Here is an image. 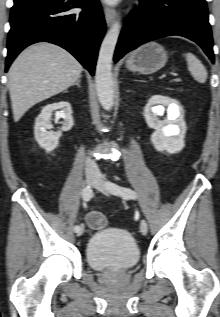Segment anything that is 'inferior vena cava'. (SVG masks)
<instances>
[{
    "label": "inferior vena cava",
    "mask_w": 220,
    "mask_h": 317,
    "mask_svg": "<svg viewBox=\"0 0 220 317\" xmlns=\"http://www.w3.org/2000/svg\"><path fill=\"white\" fill-rule=\"evenodd\" d=\"M86 171L87 172H97L98 166L94 160L87 158L86 160Z\"/></svg>",
    "instance_id": "inferior-vena-cava-1"
}]
</instances>
